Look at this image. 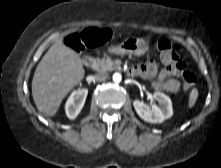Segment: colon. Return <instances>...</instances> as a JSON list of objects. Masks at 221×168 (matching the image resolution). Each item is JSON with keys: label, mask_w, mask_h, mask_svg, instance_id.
Wrapping results in <instances>:
<instances>
[{"label": "colon", "mask_w": 221, "mask_h": 168, "mask_svg": "<svg viewBox=\"0 0 221 168\" xmlns=\"http://www.w3.org/2000/svg\"><path fill=\"white\" fill-rule=\"evenodd\" d=\"M110 37L109 29L100 28H88L79 33H73L66 37L65 44L76 50L82 51L86 48L94 47L100 43L108 40ZM157 48L161 52V55H167L172 52L171 42L166 38H161L157 42ZM186 67V65H185ZM187 79L182 84V87H193L196 83V76L187 69ZM185 88L181 89V94H184Z\"/></svg>", "instance_id": "obj_1"}]
</instances>
